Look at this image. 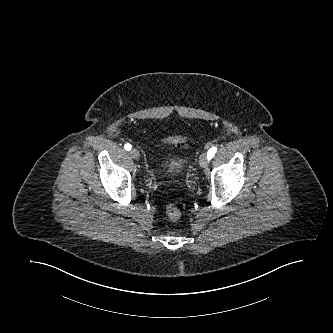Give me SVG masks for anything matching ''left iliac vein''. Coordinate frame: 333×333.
I'll list each match as a JSON object with an SVG mask.
<instances>
[{"label":"left iliac vein","mask_w":333,"mask_h":333,"mask_svg":"<svg viewBox=\"0 0 333 333\" xmlns=\"http://www.w3.org/2000/svg\"><path fill=\"white\" fill-rule=\"evenodd\" d=\"M208 163H209V160H208V157H207V154L206 153H202L199 157V165L201 168H207L208 167Z\"/></svg>","instance_id":"left-iliac-vein-1"}]
</instances>
